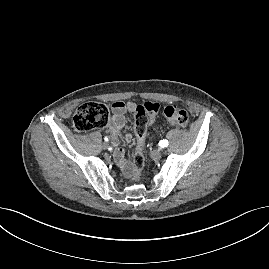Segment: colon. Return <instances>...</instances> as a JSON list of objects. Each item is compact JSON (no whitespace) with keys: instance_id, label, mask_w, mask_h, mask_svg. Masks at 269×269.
<instances>
[{"instance_id":"1","label":"colon","mask_w":269,"mask_h":269,"mask_svg":"<svg viewBox=\"0 0 269 269\" xmlns=\"http://www.w3.org/2000/svg\"><path fill=\"white\" fill-rule=\"evenodd\" d=\"M159 104L147 102L136 107V120L134 132L137 138L134 154L135 173L133 177H138L139 172L145 164V138L147 127L152 118L158 113ZM165 119L170 125L185 127L189 122L188 112L178 106L169 105L163 110ZM110 118V111L104 104L97 102H88L79 106L73 116L72 124L75 130L87 132L107 125Z\"/></svg>"}]
</instances>
